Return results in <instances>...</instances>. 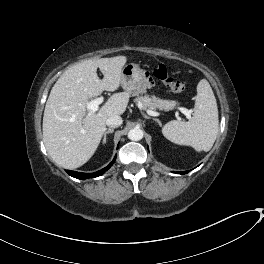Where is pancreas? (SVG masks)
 Wrapping results in <instances>:
<instances>
[{
    "instance_id": "pancreas-1",
    "label": "pancreas",
    "mask_w": 264,
    "mask_h": 264,
    "mask_svg": "<svg viewBox=\"0 0 264 264\" xmlns=\"http://www.w3.org/2000/svg\"><path fill=\"white\" fill-rule=\"evenodd\" d=\"M137 103L142 105L143 109L146 110H171L173 109L178 103L174 100H166L160 99L156 96H150L148 94H144L138 96L135 100Z\"/></svg>"
}]
</instances>
